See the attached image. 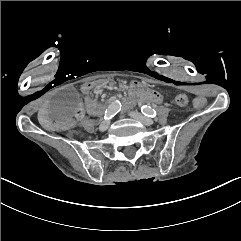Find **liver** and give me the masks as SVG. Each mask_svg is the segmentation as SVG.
I'll use <instances>...</instances> for the list:
<instances>
[{"label":"liver","instance_id":"1","mask_svg":"<svg viewBox=\"0 0 241 241\" xmlns=\"http://www.w3.org/2000/svg\"><path fill=\"white\" fill-rule=\"evenodd\" d=\"M41 125L43 126L44 129L52 131V128L49 125L43 124V123H41Z\"/></svg>","mask_w":241,"mask_h":241}]
</instances>
